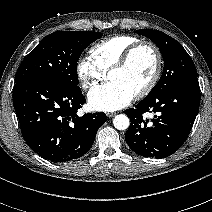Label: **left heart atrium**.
<instances>
[{
	"label": "left heart atrium",
	"instance_id": "left-heart-atrium-1",
	"mask_svg": "<svg viewBox=\"0 0 212 212\" xmlns=\"http://www.w3.org/2000/svg\"><path fill=\"white\" fill-rule=\"evenodd\" d=\"M134 94L115 81L93 88L88 94L89 106L98 111H115L128 105Z\"/></svg>",
	"mask_w": 212,
	"mask_h": 212
}]
</instances>
